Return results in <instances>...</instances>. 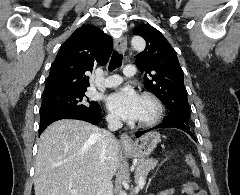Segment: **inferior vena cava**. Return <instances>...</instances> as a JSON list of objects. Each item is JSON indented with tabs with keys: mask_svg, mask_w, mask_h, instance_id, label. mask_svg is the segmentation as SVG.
Instances as JSON below:
<instances>
[{
	"mask_svg": "<svg viewBox=\"0 0 240 195\" xmlns=\"http://www.w3.org/2000/svg\"><path fill=\"white\" fill-rule=\"evenodd\" d=\"M106 119L108 121V129H100L97 133L98 147L100 149V167L104 165L108 145L117 143V139L114 137L112 131H116V129L122 127V121L118 117H115V115H107ZM96 195H114L113 183L109 177H105V175L98 177Z\"/></svg>",
	"mask_w": 240,
	"mask_h": 195,
	"instance_id": "1",
	"label": "inferior vena cava"
}]
</instances>
